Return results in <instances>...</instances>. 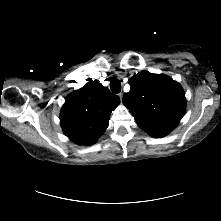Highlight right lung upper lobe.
<instances>
[{
  "label": "right lung upper lobe",
  "mask_w": 221,
  "mask_h": 221,
  "mask_svg": "<svg viewBox=\"0 0 221 221\" xmlns=\"http://www.w3.org/2000/svg\"><path fill=\"white\" fill-rule=\"evenodd\" d=\"M119 103V97L107 87L90 80L66 98L60 114L65 135L79 145L95 143L105 132L110 114Z\"/></svg>",
  "instance_id": "right-lung-upper-lobe-1"
}]
</instances>
